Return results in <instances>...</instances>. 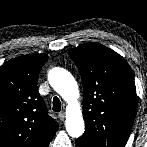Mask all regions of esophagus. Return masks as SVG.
<instances>
[{
	"instance_id": "34e87169",
	"label": "esophagus",
	"mask_w": 147,
	"mask_h": 147,
	"mask_svg": "<svg viewBox=\"0 0 147 147\" xmlns=\"http://www.w3.org/2000/svg\"><path fill=\"white\" fill-rule=\"evenodd\" d=\"M58 117L60 119V121H64L65 120V113L62 111L58 114Z\"/></svg>"
}]
</instances>
